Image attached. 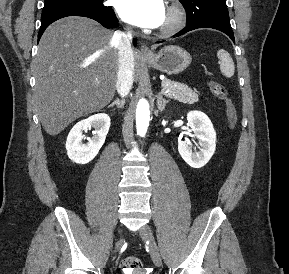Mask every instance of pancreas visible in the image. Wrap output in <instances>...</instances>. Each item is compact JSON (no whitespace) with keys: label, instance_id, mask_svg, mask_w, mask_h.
Listing matches in <instances>:
<instances>
[{"label":"pancreas","instance_id":"1","mask_svg":"<svg viewBox=\"0 0 289 274\" xmlns=\"http://www.w3.org/2000/svg\"><path fill=\"white\" fill-rule=\"evenodd\" d=\"M161 84L163 89L169 90V92L166 93V96L171 99H175L186 104L198 102V92L196 89L193 90L187 85L172 81L170 79H164Z\"/></svg>","mask_w":289,"mask_h":274}]
</instances>
